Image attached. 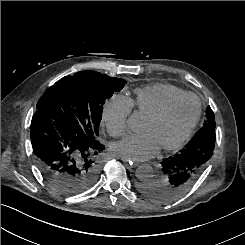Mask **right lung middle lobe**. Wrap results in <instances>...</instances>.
I'll list each match as a JSON object with an SVG mask.
<instances>
[{"mask_svg":"<svg viewBox=\"0 0 245 245\" xmlns=\"http://www.w3.org/2000/svg\"><path fill=\"white\" fill-rule=\"evenodd\" d=\"M127 82L94 71L66 76L48 88L37 103V111L68 126L85 140L99 135L104 103Z\"/></svg>","mask_w":245,"mask_h":245,"instance_id":"obj_1","label":"right lung middle lobe"}]
</instances>
